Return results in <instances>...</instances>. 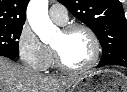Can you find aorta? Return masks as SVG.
I'll return each mask as SVG.
<instances>
[{"instance_id":"aorta-1","label":"aorta","mask_w":127,"mask_h":92,"mask_svg":"<svg viewBox=\"0 0 127 92\" xmlns=\"http://www.w3.org/2000/svg\"><path fill=\"white\" fill-rule=\"evenodd\" d=\"M27 19L32 30L44 43L50 42L58 30L48 16V0H31L27 7Z\"/></svg>"}]
</instances>
